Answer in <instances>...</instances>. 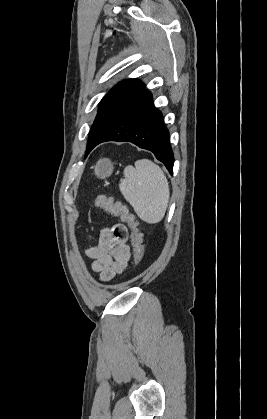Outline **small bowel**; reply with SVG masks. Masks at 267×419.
<instances>
[{
    "label": "small bowel",
    "instance_id": "c3829d8e",
    "mask_svg": "<svg viewBox=\"0 0 267 419\" xmlns=\"http://www.w3.org/2000/svg\"><path fill=\"white\" fill-rule=\"evenodd\" d=\"M127 238V228L116 224L102 229L97 245L85 250L86 256L92 259L91 269L98 274L99 281H110L126 269L130 259Z\"/></svg>",
    "mask_w": 267,
    "mask_h": 419
}]
</instances>
